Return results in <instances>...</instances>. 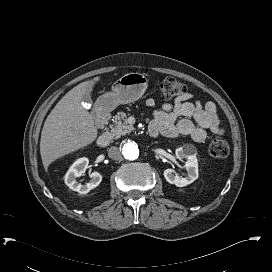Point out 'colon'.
Returning <instances> with one entry per match:
<instances>
[{
	"label": "colon",
	"instance_id": "5ec220e1",
	"mask_svg": "<svg viewBox=\"0 0 272 272\" xmlns=\"http://www.w3.org/2000/svg\"><path fill=\"white\" fill-rule=\"evenodd\" d=\"M160 94L164 100H173L186 94L185 84L171 77H165L158 81ZM210 154L216 158H223L229 154L228 141L221 136L214 137L209 145Z\"/></svg>",
	"mask_w": 272,
	"mask_h": 272
}]
</instances>
